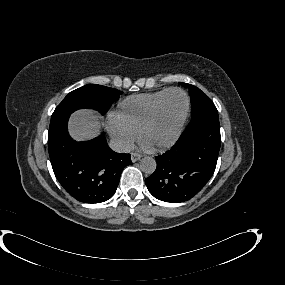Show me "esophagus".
I'll list each match as a JSON object with an SVG mask.
<instances>
[{
    "mask_svg": "<svg viewBox=\"0 0 285 285\" xmlns=\"http://www.w3.org/2000/svg\"><path fill=\"white\" fill-rule=\"evenodd\" d=\"M141 157L142 156L140 154H138V153H131V160H132V162H136V161L140 160Z\"/></svg>",
    "mask_w": 285,
    "mask_h": 285,
    "instance_id": "34e87169",
    "label": "esophagus"
}]
</instances>
